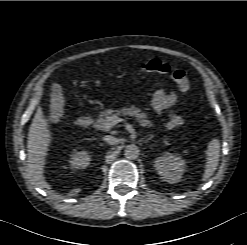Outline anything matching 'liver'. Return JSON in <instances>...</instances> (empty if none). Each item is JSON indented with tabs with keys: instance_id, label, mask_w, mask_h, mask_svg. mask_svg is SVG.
Instances as JSON below:
<instances>
[{
	"instance_id": "6515ba94",
	"label": "liver",
	"mask_w": 247,
	"mask_h": 245,
	"mask_svg": "<svg viewBox=\"0 0 247 245\" xmlns=\"http://www.w3.org/2000/svg\"><path fill=\"white\" fill-rule=\"evenodd\" d=\"M50 130L48 123L43 116L40 108L32 120L28 132L27 140V163L29 176L38 187L51 189L44 178V167L47 157V151L51 143Z\"/></svg>"
}]
</instances>
